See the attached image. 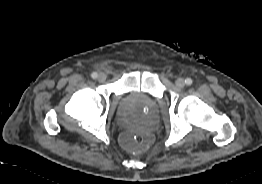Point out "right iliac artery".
<instances>
[{
    "instance_id": "right-iliac-artery-1",
    "label": "right iliac artery",
    "mask_w": 262,
    "mask_h": 184,
    "mask_svg": "<svg viewBox=\"0 0 262 184\" xmlns=\"http://www.w3.org/2000/svg\"><path fill=\"white\" fill-rule=\"evenodd\" d=\"M91 77H92L93 79H96V78L98 77V74H97L96 72H93V73L91 74Z\"/></svg>"
}]
</instances>
